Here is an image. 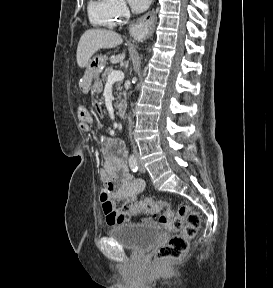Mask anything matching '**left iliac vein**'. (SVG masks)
<instances>
[{"label":"left iliac vein","instance_id":"1","mask_svg":"<svg viewBox=\"0 0 273 288\" xmlns=\"http://www.w3.org/2000/svg\"><path fill=\"white\" fill-rule=\"evenodd\" d=\"M137 161H138V166H139V171L144 173L145 172V167L143 166L141 160L139 157H137Z\"/></svg>","mask_w":273,"mask_h":288}]
</instances>
